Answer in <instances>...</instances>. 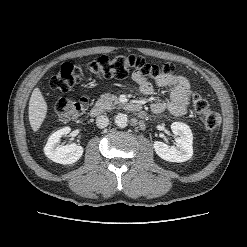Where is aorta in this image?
Segmentation results:
<instances>
[{"label": "aorta", "instance_id": "aorta-1", "mask_svg": "<svg viewBox=\"0 0 247 247\" xmlns=\"http://www.w3.org/2000/svg\"><path fill=\"white\" fill-rule=\"evenodd\" d=\"M115 124L119 128H125L128 125V117L125 114H118L115 117Z\"/></svg>", "mask_w": 247, "mask_h": 247}]
</instances>
